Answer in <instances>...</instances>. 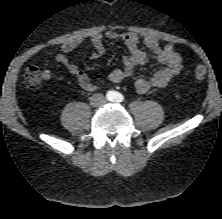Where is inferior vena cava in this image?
<instances>
[{
    "label": "inferior vena cava",
    "instance_id": "inferior-vena-cava-1",
    "mask_svg": "<svg viewBox=\"0 0 222 219\" xmlns=\"http://www.w3.org/2000/svg\"><path fill=\"white\" fill-rule=\"evenodd\" d=\"M105 102V98L102 94H95L91 98V104L94 106L101 105Z\"/></svg>",
    "mask_w": 222,
    "mask_h": 219
}]
</instances>
